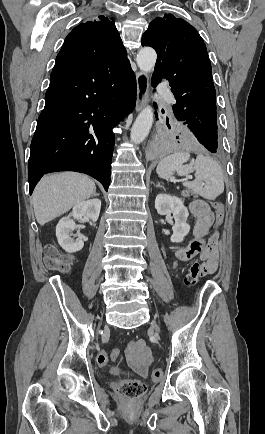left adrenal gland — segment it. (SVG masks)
<instances>
[{"label":"left adrenal gland","mask_w":265,"mask_h":434,"mask_svg":"<svg viewBox=\"0 0 265 434\" xmlns=\"http://www.w3.org/2000/svg\"><path fill=\"white\" fill-rule=\"evenodd\" d=\"M156 188H163V190H165L164 186H160V182H157Z\"/></svg>","instance_id":"left-adrenal-gland-1"}]
</instances>
